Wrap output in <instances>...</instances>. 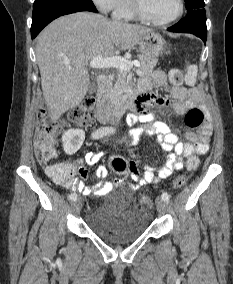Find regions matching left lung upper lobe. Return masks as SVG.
Wrapping results in <instances>:
<instances>
[{"mask_svg": "<svg viewBox=\"0 0 233 284\" xmlns=\"http://www.w3.org/2000/svg\"><path fill=\"white\" fill-rule=\"evenodd\" d=\"M184 1L186 3V9L188 14H191L193 13L194 10L203 8L205 6L204 0H184Z\"/></svg>", "mask_w": 233, "mask_h": 284, "instance_id": "obj_1", "label": "left lung upper lobe"}]
</instances>
